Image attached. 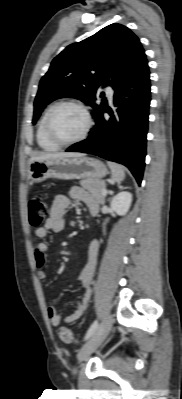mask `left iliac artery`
<instances>
[{
    "mask_svg": "<svg viewBox=\"0 0 182 399\" xmlns=\"http://www.w3.org/2000/svg\"><path fill=\"white\" fill-rule=\"evenodd\" d=\"M97 327H98V322L94 321L93 324L88 329L84 340H87L88 338H90L92 336V334L96 331Z\"/></svg>",
    "mask_w": 182,
    "mask_h": 399,
    "instance_id": "obj_1",
    "label": "left iliac artery"
}]
</instances>
